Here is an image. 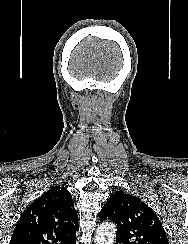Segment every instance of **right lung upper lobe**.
<instances>
[{"label": "right lung upper lobe", "mask_w": 188, "mask_h": 244, "mask_svg": "<svg viewBox=\"0 0 188 244\" xmlns=\"http://www.w3.org/2000/svg\"><path fill=\"white\" fill-rule=\"evenodd\" d=\"M77 212L64 187H52L22 214L10 244H75Z\"/></svg>", "instance_id": "obj_1"}]
</instances>
